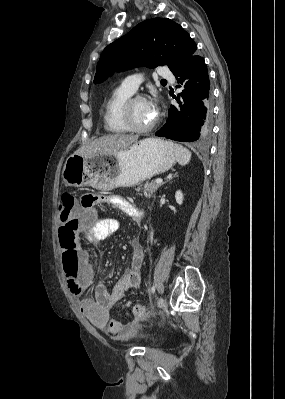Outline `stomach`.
<instances>
[{
    "instance_id": "stomach-1",
    "label": "stomach",
    "mask_w": 285,
    "mask_h": 399,
    "mask_svg": "<svg viewBox=\"0 0 285 399\" xmlns=\"http://www.w3.org/2000/svg\"><path fill=\"white\" fill-rule=\"evenodd\" d=\"M176 161L169 142L145 139L117 154H72L62 170L66 185L99 190L129 187L168 171Z\"/></svg>"
}]
</instances>
